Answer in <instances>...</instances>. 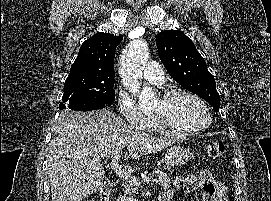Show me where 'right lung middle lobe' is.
<instances>
[{
    "mask_svg": "<svg viewBox=\"0 0 271 201\" xmlns=\"http://www.w3.org/2000/svg\"><path fill=\"white\" fill-rule=\"evenodd\" d=\"M114 74L70 73L64 84L62 102H82L81 107L109 106L115 100Z\"/></svg>",
    "mask_w": 271,
    "mask_h": 201,
    "instance_id": "dd1d6c3e",
    "label": "right lung middle lobe"
}]
</instances>
